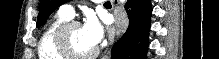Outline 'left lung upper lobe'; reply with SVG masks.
<instances>
[{
    "label": "left lung upper lobe",
    "mask_w": 219,
    "mask_h": 59,
    "mask_svg": "<svg viewBox=\"0 0 219 59\" xmlns=\"http://www.w3.org/2000/svg\"><path fill=\"white\" fill-rule=\"evenodd\" d=\"M68 1L69 0H41L37 17V27H40L57 7Z\"/></svg>",
    "instance_id": "left-lung-upper-lobe-1"
}]
</instances>
